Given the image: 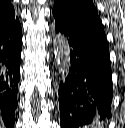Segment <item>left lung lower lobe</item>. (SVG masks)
Listing matches in <instances>:
<instances>
[{"label": "left lung lower lobe", "mask_w": 125, "mask_h": 128, "mask_svg": "<svg viewBox=\"0 0 125 128\" xmlns=\"http://www.w3.org/2000/svg\"><path fill=\"white\" fill-rule=\"evenodd\" d=\"M55 29L70 47L69 73L59 87L61 128L105 123L111 117L112 101L107 40L56 23Z\"/></svg>", "instance_id": "1"}]
</instances>
